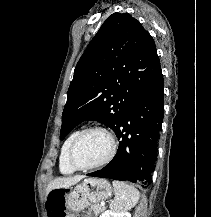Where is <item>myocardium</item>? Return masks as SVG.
<instances>
[{"label":"myocardium","mask_w":211,"mask_h":217,"mask_svg":"<svg viewBox=\"0 0 211 217\" xmlns=\"http://www.w3.org/2000/svg\"><path fill=\"white\" fill-rule=\"evenodd\" d=\"M92 131H99V132H102L108 136L110 143H111L110 151H109L108 155L102 161H100L98 163H95L92 165H86V166L79 165L76 162L75 157H74L75 149H76L79 141L82 139V137L85 134L92 132ZM116 152H117V142H116V139H115L113 133L111 131H109L108 129L101 127V126H90V127H87L85 129L81 130L77 134V136L74 138V140L72 141L70 148H69V151H68V160H69L70 165L76 170H92V169H96V168L105 166L108 163H110L113 160V158L115 157Z\"/></svg>","instance_id":"obj_1"}]
</instances>
